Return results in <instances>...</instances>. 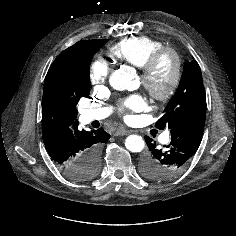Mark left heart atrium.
Wrapping results in <instances>:
<instances>
[{
    "label": "left heart atrium",
    "instance_id": "obj_1",
    "mask_svg": "<svg viewBox=\"0 0 236 236\" xmlns=\"http://www.w3.org/2000/svg\"><path fill=\"white\" fill-rule=\"evenodd\" d=\"M145 106V99L141 95H132L122 101L121 113L127 115L130 110H140Z\"/></svg>",
    "mask_w": 236,
    "mask_h": 236
}]
</instances>
